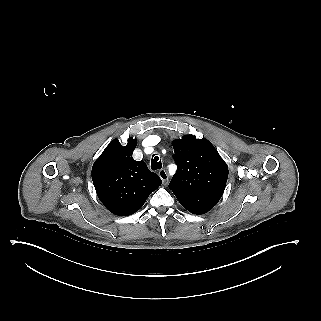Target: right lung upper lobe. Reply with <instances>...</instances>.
I'll list each match as a JSON object with an SVG mask.
<instances>
[{"label": "right lung upper lobe", "instance_id": "1", "mask_svg": "<svg viewBox=\"0 0 321 321\" xmlns=\"http://www.w3.org/2000/svg\"><path fill=\"white\" fill-rule=\"evenodd\" d=\"M136 145L137 141L132 138L125 146L114 139L92 167V180L100 201L118 216L138 211L162 184L145 162L132 158Z\"/></svg>", "mask_w": 321, "mask_h": 321}]
</instances>
